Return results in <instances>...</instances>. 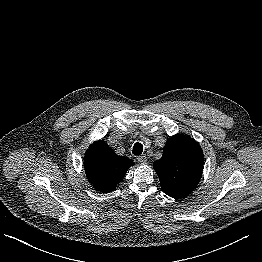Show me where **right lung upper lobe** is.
Returning <instances> with one entry per match:
<instances>
[{
  "instance_id": "obj_1",
  "label": "right lung upper lobe",
  "mask_w": 262,
  "mask_h": 262,
  "mask_svg": "<svg viewBox=\"0 0 262 262\" xmlns=\"http://www.w3.org/2000/svg\"><path fill=\"white\" fill-rule=\"evenodd\" d=\"M134 162L125 157L118 156L105 142H94L86 152L84 168L88 181L95 190L111 192L123 179L126 171Z\"/></svg>"
}]
</instances>
